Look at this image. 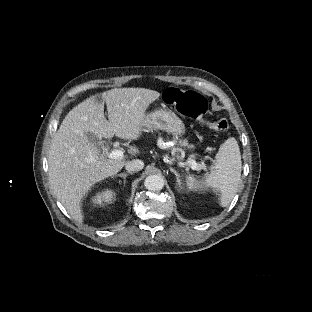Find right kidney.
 Segmentation results:
<instances>
[{"label": "right kidney", "mask_w": 312, "mask_h": 312, "mask_svg": "<svg viewBox=\"0 0 312 312\" xmlns=\"http://www.w3.org/2000/svg\"><path fill=\"white\" fill-rule=\"evenodd\" d=\"M113 199H114L113 193L111 191H106L104 193L97 195L94 198V202L97 204H104V203L113 201Z\"/></svg>", "instance_id": "1"}]
</instances>
